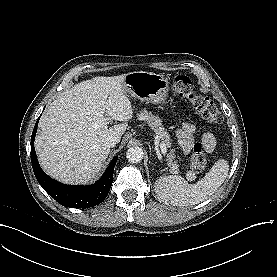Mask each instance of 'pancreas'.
I'll return each instance as SVG.
<instances>
[{
  "mask_svg": "<svg viewBox=\"0 0 277 277\" xmlns=\"http://www.w3.org/2000/svg\"><path fill=\"white\" fill-rule=\"evenodd\" d=\"M139 120L146 121L149 127L156 133L158 140L164 143L166 147L171 148L172 142L169 133L165 130L161 123V119L158 116L153 115L146 109L141 110L138 114ZM167 164L170 167V172L173 174L179 173V165L175 160V149H170V152L166 155Z\"/></svg>",
  "mask_w": 277,
  "mask_h": 277,
  "instance_id": "1",
  "label": "pancreas"
}]
</instances>
